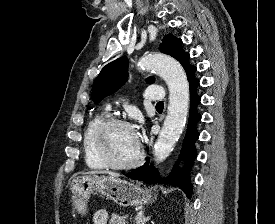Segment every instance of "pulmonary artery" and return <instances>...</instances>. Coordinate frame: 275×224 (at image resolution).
Segmentation results:
<instances>
[{
  "label": "pulmonary artery",
  "mask_w": 275,
  "mask_h": 224,
  "mask_svg": "<svg viewBox=\"0 0 275 224\" xmlns=\"http://www.w3.org/2000/svg\"><path fill=\"white\" fill-rule=\"evenodd\" d=\"M144 96L148 101H162L165 98V91L158 86L148 87Z\"/></svg>",
  "instance_id": "e3ab8cb5"
}]
</instances>
